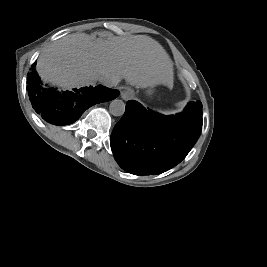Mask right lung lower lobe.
I'll return each mask as SVG.
<instances>
[{"label":"right lung lower lobe","instance_id":"98d812e1","mask_svg":"<svg viewBox=\"0 0 267 267\" xmlns=\"http://www.w3.org/2000/svg\"><path fill=\"white\" fill-rule=\"evenodd\" d=\"M27 91L36 113L53 125L74 123L89 107L115 99L120 94L118 90L102 85L60 92L44 86L36 73L27 75Z\"/></svg>","mask_w":267,"mask_h":267}]
</instances>
